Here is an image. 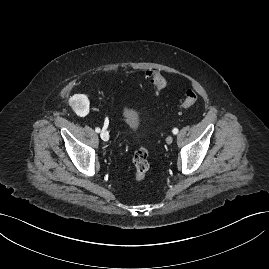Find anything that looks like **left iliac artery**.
Instances as JSON below:
<instances>
[{"mask_svg": "<svg viewBox=\"0 0 269 269\" xmlns=\"http://www.w3.org/2000/svg\"><path fill=\"white\" fill-rule=\"evenodd\" d=\"M172 132H173V134H177L178 133V129L177 128H174L173 130H172Z\"/></svg>", "mask_w": 269, "mask_h": 269, "instance_id": "44dca946", "label": "left iliac artery"}]
</instances>
